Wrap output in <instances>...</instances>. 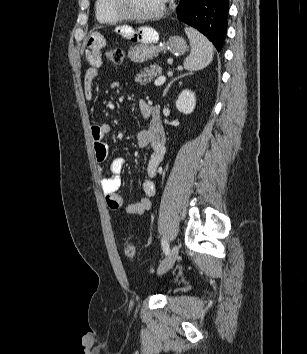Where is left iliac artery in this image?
Masks as SVG:
<instances>
[{
	"instance_id": "obj_1",
	"label": "left iliac artery",
	"mask_w": 307,
	"mask_h": 354,
	"mask_svg": "<svg viewBox=\"0 0 307 354\" xmlns=\"http://www.w3.org/2000/svg\"><path fill=\"white\" fill-rule=\"evenodd\" d=\"M161 244H162L163 252L167 255L170 251L168 241L165 238H163Z\"/></svg>"
}]
</instances>
